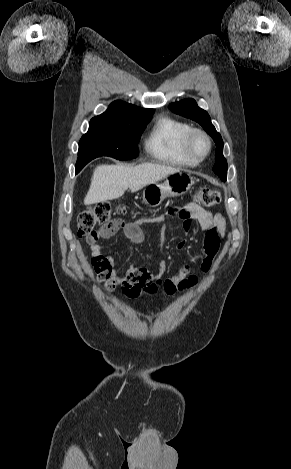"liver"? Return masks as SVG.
I'll list each match as a JSON object with an SVG mask.
<instances>
[{
    "mask_svg": "<svg viewBox=\"0 0 291 469\" xmlns=\"http://www.w3.org/2000/svg\"><path fill=\"white\" fill-rule=\"evenodd\" d=\"M179 171L178 168L151 163L134 167L128 165L97 166L93 172L84 204H95L119 198L128 188L136 192L146 185L156 183Z\"/></svg>",
    "mask_w": 291,
    "mask_h": 469,
    "instance_id": "obj_1",
    "label": "liver"
}]
</instances>
